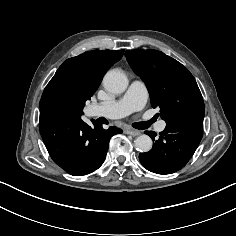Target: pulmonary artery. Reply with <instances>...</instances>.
<instances>
[{
  "instance_id": "e3ab8cb5",
  "label": "pulmonary artery",
  "mask_w": 236,
  "mask_h": 236,
  "mask_svg": "<svg viewBox=\"0 0 236 236\" xmlns=\"http://www.w3.org/2000/svg\"><path fill=\"white\" fill-rule=\"evenodd\" d=\"M147 98L148 92L144 82L135 79L121 98L108 102L94 103L88 107L87 112L89 116L93 117L99 115L101 109L108 108L113 110L117 117H125L141 110L146 104ZM165 127V121H160L157 125V130L163 131Z\"/></svg>"
}]
</instances>
